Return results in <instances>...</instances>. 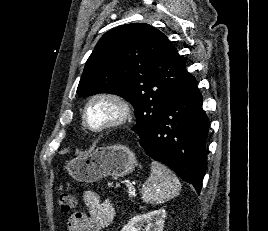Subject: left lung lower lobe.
Listing matches in <instances>:
<instances>
[{
  "mask_svg": "<svg viewBox=\"0 0 268 231\" xmlns=\"http://www.w3.org/2000/svg\"><path fill=\"white\" fill-rule=\"evenodd\" d=\"M208 128L202 95L191 75L170 96L154 126L139 135L140 145L148 156L166 164L200 193Z\"/></svg>",
  "mask_w": 268,
  "mask_h": 231,
  "instance_id": "left-lung-lower-lobe-1",
  "label": "left lung lower lobe"
}]
</instances>
